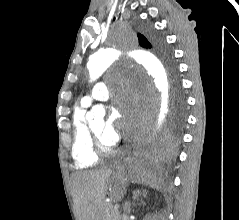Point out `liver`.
<instances>
[{"label":"liver","mask_w":239,"mask_h":220,"mask_svg":"<svg viewBox=\"0 0 239 220\" xmlns=\"http://www.w3.org/2000/svg\"><path fill=\"white\" fill-rule=\"evenodd\" d=\"M111 174L110 168H103L76 172L72 175V195L78 220H103Z\"/></svg>","instance_id":"liver-1"}]
</instances>
